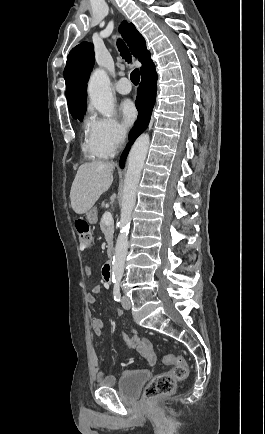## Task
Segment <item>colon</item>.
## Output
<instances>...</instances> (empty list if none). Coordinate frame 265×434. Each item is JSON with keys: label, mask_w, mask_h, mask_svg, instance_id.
Segmentation results:
<instances>
[{"label": "colon", "mask_w": 265, "mask_h": 434, "mask_svg": "<svg viewBox=\"0 0 265 434\" xmlns=\"http://www.w3.org/2000/svg\"><path fill=\"white\" fill-rule=\"evenodd\" d=\"M75 231L83 251H90L95 243L94 234L86 221L76 220ZM164 363L172 365L170 372L157 373L145 387V401L151 402L152 396L173 392L179 381L187 379L189 368L186 361L175 355L164 357Z\"/></svg>", "instance_id": "1"}]
</instances>
